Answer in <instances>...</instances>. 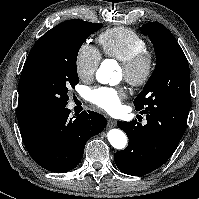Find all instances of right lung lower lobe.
Returning <instances> with one entry per match:
<instances>
[{"instance_id": "obj_1", "label": "right lung lower lobe", "mask_w": 199, "mask_h": 199, "mask_svg": "<svg viewBox=\"0 0 199 199\" xmlns=\"http://www.w3.org/2000/svg\"><path fill=\"white\" fill-rule=\"evenodd\" d=\"M70 110L62 108L40 119L21 135L33 160L44 169L61 173L74 169L83 157L89 138L106 126V118L93 111H83L71 118Z\"/></svg>"}]
</instances>
